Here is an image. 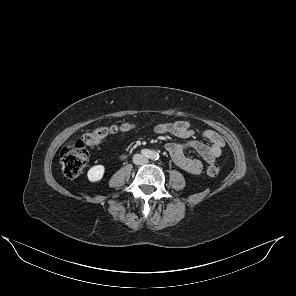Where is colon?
I'll use <instances>...</instances> for the list:
<instances>
[{"label": "colon", "instance_id": "obj_1", "mask_svg": "<svg viewBox=\"0 0 296 296\" xmlns=\"http://www.w3.org/2000/svg\"><path fill=\"white\" fill-rule=\"evenodd\" d=\"M133 126L129 122L100 126L85 133L76 143L64 147L60 154L63 173L70 178L78 176L88 161V145L96 144L109 135L129 131ZM206 172L209 176H216L220 172V166L212 164Z\"/></svg>", "mask_w": 296, "mask_h": 296}]
</instances>
